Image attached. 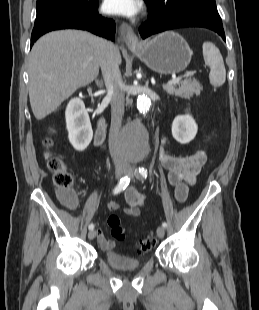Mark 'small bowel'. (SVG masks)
I'll list each match as a JSON object with an SVG mask.
<instances>
[{
	"instance_id": "1",
	"label": "small bowel",
	"mask_w": 259,
	"mask_h": 310,
	"mask_svg": "<svg viewBox=\"0 0 259 310\" xmlns=\"http://www.w3.org/2000/svg\"><path fill=\"white\" fill-rule=\"evenodd\" d=\"M164 143L159 152L160 162L168 171L167 180L169 185L175 189L176 200L185 202L188 197L189 187L196 183V177L206 161V155L201 150L189 156L170 155L165 151ZM124 197L127 203L124 213L130 217L139 216L145 205L144 196L134 187L129 186L125 188ZM120 207V203L117 201H110L107 204L110 211H116ZM96 234L97 242L103 250L110 251L115 248V242L107 239L100 229L96 231Z\"/></svg>"
}]
</instances>
